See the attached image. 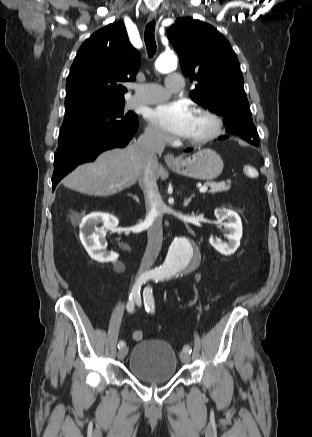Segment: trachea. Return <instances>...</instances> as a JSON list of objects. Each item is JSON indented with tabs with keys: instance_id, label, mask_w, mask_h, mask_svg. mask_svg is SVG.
<instances>
[{
	"instance_id": "1",
	"label": "trachea",
	"mask_w": 312,
	"mask_h": 437,
	"mask_svg": "<svg viewBox=\"0 0 312 437\" xmlns=\"http://www.w3.org/2000/svg\"><path fill=\"white\" fill-rule=\"evenodd\" d=\"M155 21L147 24L144 33V41L147 47L149 57H152L156 52V42L154 36Z\"/></svg>"
}]
</instances>
